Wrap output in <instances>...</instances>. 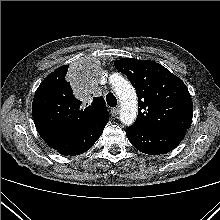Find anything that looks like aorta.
<instances>
[{"label":"aorta","mask_w":220,"mask_h":220,"mask_svg":"<svg viewBox=\"0 0 220 220\" xmlns=\"http://www.w3.org/2000/svg\"><path fill=\"white\" fill-rule=\"evenodd\" d=\"M111 83L121 103L120 121L129 126L135 122L137 117L138 101L136 92L130 82L120 75H114L111 78Z\"/></svg>","instance_id":"aorta-1"}]
</instances>
